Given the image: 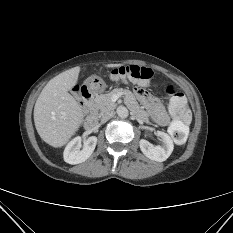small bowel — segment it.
<instances>
[{
  "label": "small bowel",
  "mask_w": 233,
  "mask_h": 233,
  "mask_svg": "<svg viewBox=\"0 0 233 233\" xmlns=\"http://www.w3.org/2000/svg\"><path fill=\"white\" fill-rule=\"evenodd\" d=\"M135 92L139 100L150 109L152 118L159 124H165L167 114L164 107L142 87H137Z\"/></svg>",
  "instance_id": "small-bowel-1"
}]
</instances>
